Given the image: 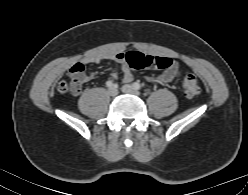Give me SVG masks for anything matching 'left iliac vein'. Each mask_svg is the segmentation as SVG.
Segmentation results:
<instances>
[{
  "mask_svg": "<svg viewBox=\"0 0 248 195\" xmlns=\"http://www.w3.org/2000/svg\"><path fill=\"white\" fill-rule=\"evenodd\" d=\"M122 91L124 93L132 94V95H135V96L140 95V92L137 89H135L132 85H124L122 87Z\"/></svg>",
  "mask_w": 248,
  "mask_h": 195,
  "instance_id": "4c4485c4",
  "label": "left iliac vein"
}]
</instances>
